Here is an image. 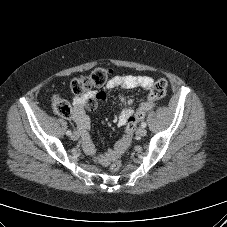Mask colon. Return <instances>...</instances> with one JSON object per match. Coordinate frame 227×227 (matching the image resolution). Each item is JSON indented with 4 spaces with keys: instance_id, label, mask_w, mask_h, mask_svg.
<instances>
[{
    "instance_id": "5ec220e1",
    "label": "colon",
    "mask_w": 227,
    "mask_h": 227,
    "mask_svg": "<svg viewBox=\"0 0 227 227\" xmlns=\"http://www.w3.org/2000/svg\"><path fill=\"white\" fill-rule=\"evenodd\" d=\"M112 73V70L105 67L95 69L88 76H77L72 79L70 83L71 90L76 95H82L90 91L94 87H101L105 85ZM167 90V81L165 79H158L154 82L150 89V93L146 102H144L136 111V113L129 119V123H136L143 119L146 113L152 109L155 102L165 96ZM53 111L64 118L72 115L71 105L63 98L55 96L51 103ZM112 172H118L122 168V160L120 156L113 159L110 164Z\"/></svg>"
}]
</instances>
